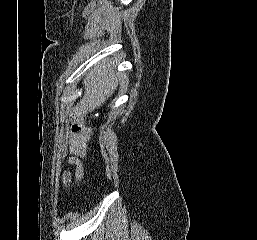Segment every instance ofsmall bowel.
Listing matches in <instances>:
<instances>
[{
  "mask_svg": "<svg viewBox=\"0 0 257 240\" xmlns=\"http://www.w3.org/2000/svg\"><path fill=\"white\" fill-rule=\"evenodd\" d=\"M88 139V135L85 134H72L68 139V163L75 165V176L77 178H80L82 176V162L87 157L85 146ZM71 178L72 175L69 171H65L63 173V182L65 183V185H70Z\"/></svg>",
  "mask_w": 257,
  "mask_h": 240,
  "instance_id": "1",
  "label": "small bowel"
}]
</instances>
